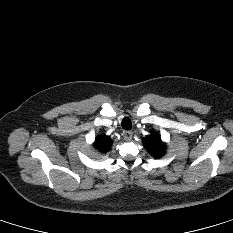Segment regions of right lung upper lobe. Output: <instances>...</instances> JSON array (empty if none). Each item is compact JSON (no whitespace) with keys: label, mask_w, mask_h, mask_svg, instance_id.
Segmentation results:
<instances>
[{"label":"right lung upper lobe","mask_w":233,"mask_h":233,"mask_svg":"<svg viewBox=\"0 0 233 233\" xmlns=\"http://www.w3.org/2000/svg\"><path fill=\"white\" fill-rule=\"evenodd\" d=\"M112 141L109 136L102 135L94 142V147L101 153H106L111 148Z\"/></svg>","instance_id":"1"}]
</instances>
